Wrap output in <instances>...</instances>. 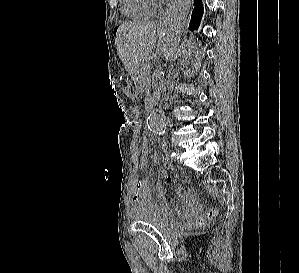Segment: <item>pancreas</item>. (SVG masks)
<instances>
[{
  "instance_id": "1",
  "label": "pancreas",
  "mask_w": 299,
  "mask_h": 273,
  "mask_svg": "<svg viewBox=\"0 0 299 273\" xmlns=\"http://www.w3.org/2000/svg\"><path fill=\"white\" fill-rule=\"evenodd\" d=\"M140 71L144 81H149L151 75V62L148 59H145L142 62Z\"/></svg>"
}]
</instances>
